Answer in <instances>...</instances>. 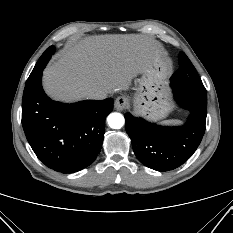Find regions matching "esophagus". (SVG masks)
<instances>
[{
  "label": "esophagus",
  "mask_w": 233,
  "mask_h": 233,
  "mask_svg": "<svg viewBox=\"0 0 233 233\" xmlns=\"http://www.w3.org/2000/svg\"><path fill=\"white\" fill-rule=\"evenodd\" d=\"M128 104H129L128 98L124 97V96H120V97L116 98V100L114 102V107L116 110L122 111L128 106Z\"/></svg>",
  "instance_id": "1"
}]
</instances>
